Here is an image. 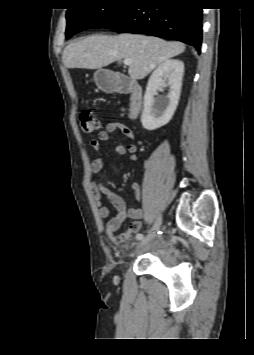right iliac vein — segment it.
<instances>
[{"mask_svg": "<svg viewBox=\"0 0 254 355\" xmlns=\"http://www.w3.org/2000/svg\"><path fill=\"white\" fill-rule=\"evenodd\" d=\"M161 225H162V217L159 216L152 229L153 233H149L146 238H144L142 241L138 243V249L144 248L154 238L155 232L161 228Z\"/></svg>", "mask_w": 254, "mask_h": 355, "instance_id": "right-iliac-vein-1", "label": "right iliac vein"}]
</instances>
